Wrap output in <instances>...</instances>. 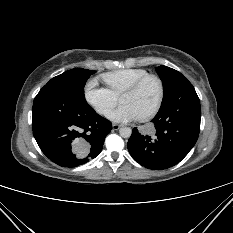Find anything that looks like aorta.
<instances>
[{"label":"aorta","mask_w":233,"mask_h":233,"mask_svg":"<svg viewBox=\"0 0 233 233\" xmlns=\"http://www.w3.org/2000/svg\"><path fill=\"white\" fill-rule=\"evenodd\" d=\"M120 136L123 138H129L132 134V130L130 127H122L119 130Z\"/></svg>","instance_id":"aorta-1"}]
</instances>
